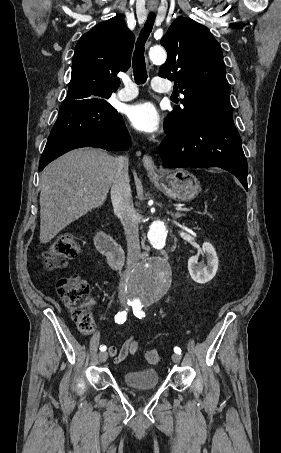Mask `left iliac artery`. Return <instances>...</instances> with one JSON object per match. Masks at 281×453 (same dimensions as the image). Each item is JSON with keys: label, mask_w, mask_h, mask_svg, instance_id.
Returning <instances> with one entry per match:
<instances>
[{"label": "left iliac artery", "mask_w": 281, "mask_h": 453, "mask_svg": "<svg viewBox=\"0 0 281 453\" xmlns=\"http://www.w3.org/2000/svg\"><path fill=\"white\" fill-rule=\"evenodd\" d=\"M132 307H133V313L136 317H138L139 319H141L142 317H145V313L143 311H141V308L143 307L142 305L133 304ZM174 352L180 355L181 349L179 347H175Z\"/></svg>", "instance_id": "1"}]
</instances>
